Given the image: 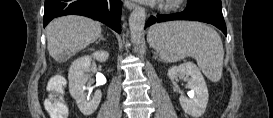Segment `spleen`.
Here are the masks:
<instances>
[{
  "label": "spleen",
  "mask_w": 273,
  "mask_h": 118,
  "mask_svg": "<svg viewBox=\"0 0 273 118\" xmlns=\"http://www.w3.org/2000/svg\"><path fill=\"white\" fill-rule=\"evenodd\" d=\"M148 42L164 62L193 57L212 82L221 79L224 50L219 34L199 22L174 21L152 26Z\"/></svg>",
  "instance_id": "obj_1"
}]
</instances>
